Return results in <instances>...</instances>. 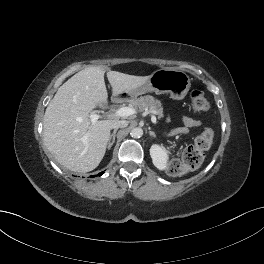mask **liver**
<instances>
[{
    "label": "liver",
    "instance_id": "obj_1",
    "mask_svg": "<svg viewBox=\"0 0 264 264\" xmlns=\"http://www.w3.org/2000/svg\"><path fill=\"white\" fill-rule=\"evenodd\" d=\"M101 66L85 68L68 79L46 108L43 121L44 142L57 161L69 170L86 173L104 157L112 125L118 118L92 124L90 113L107 102ZM112 95L130 93L144 85L150 76H133L107 71Z\"/></svg>",
    "mask_w": 264,
    "mask_h": 264
}]
</instances>
